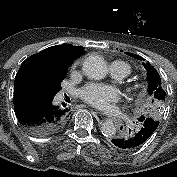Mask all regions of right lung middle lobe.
<instances>
[{
	"instance_id": "obj_1",
	"label": "right lung middle lobe",
	"mask_w": 177,
	"mask_h": 177,
	"mask_svg": "<svg viewBox=\"0 0 177 177\" xmlns=\"http://www.w3.org/2000/svg\"><path fill=\"white\" fill-rule=\"evenodd\" d=\"M64 78L65 76L53 81H42L32 78L27 81H24L21 86L25 87L26 89L36 91L40 94L55 96L56 93L60 90V83Z\"/></svg>"
}]
</instances>
